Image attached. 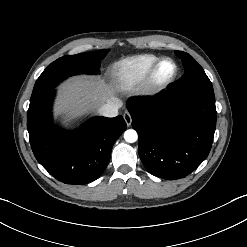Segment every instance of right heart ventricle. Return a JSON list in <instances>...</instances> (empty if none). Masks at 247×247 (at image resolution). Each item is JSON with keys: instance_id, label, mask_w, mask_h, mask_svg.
Wrapping results in <instances>:
<instances>
[{"instance_id": "e07e8e85", "label": "right heart ventricle", "mask_w": 247, "mask_h": 247, "mask_svg": "<svg viewBox=\"0 0 247 247\" xmlns=\"http://www.w3.org/2000/svg\"><path fill=\"white\" fill-rule=\"evenodd\" d=\"M159 59V56L144 54L120 60L112 67V77L120 89L132 90L145 80L150 69Z\"/></svg>"}]
</instances>
